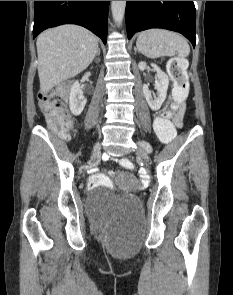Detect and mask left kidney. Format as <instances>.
<instances>
[{"label": "left kidney", "mask_w": 233, "mask_h": 295, "mask_svg": "<svg viewBox=\"0 0 233 295\" xmlns=\"http://www.w3.org/2000/svg\"><path fill=\"white\" fill-rule=\"evenodd\" d=\"M151 66L157 72V76H156V80L154 84L155 89L157 90V96L152 97L151 91L149 90L148 86L145 84L143 85V93L149 107L152 110L156 111L161 108V105L166 98L169 78L167 74L164 73L156 64H151ZM145 67H146L145 62H140L138 64V68L142 71L145 69Z\"/></svg>", "instance_id": "1"}]
</instances>
